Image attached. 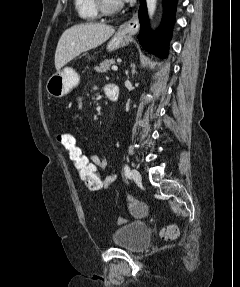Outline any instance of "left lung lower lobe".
Listing matches in <instances>:
<instances>
[{
  "instance_id": "obj_1",
  "label": "left lung lower lobe",
  "mask_w": 240,
  "mask_h": 287,
  "mask_svg": "<svg viewBox=\"0 0 240 287\" xmlns=\"http://www.w3.org/2000/svg\"><path fill=\"white\" fill-rule=\"evenodd\" d=\"M139 21L140 33L138 39L140 44L153 54L166 57L168 42L171 37V30L174 21L176 0H163L164 18L163 23L156 33H151L148 25L147 8L145 0H140Z\"/></svg>"
}]
</instances>
